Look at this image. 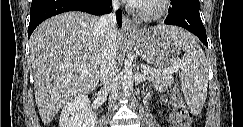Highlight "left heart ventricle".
<instances>
[{
    "mask_svg": "<svg viewBox=\"0 0 243 127\" xmlns=\"http://www.w3.org/2000/svg\"><path fill=\"white\" fill-rule=\"evenodd\" d=\"M156 6V2L153 0L146 1V8L152 9Z\"/></svg>",
    "mask_w": 243,
    "mask_h": 127,
    "instance_id": "b2bd125f",
    "label": "left heart ventricle"
}]
</instances>
